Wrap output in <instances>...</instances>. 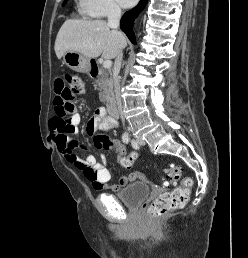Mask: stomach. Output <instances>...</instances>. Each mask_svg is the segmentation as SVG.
<instances>
[{
  "label": "stomach",
  "instance_id": "stomach-1",
  "mask_svg": "<svg viewBox=\"0 0 248 258\" xmlns=\"http://www.w3.org/2000/svg\"><path fill=\"white\" fill-rule=\"evenodd\" d=\"M64 63L72 70L80 73L91 71V60L81 53L67 51L63 55Z\"/></svg>",
  "mask_w": 248,
  "mask_h": 258
}]
</instances>
